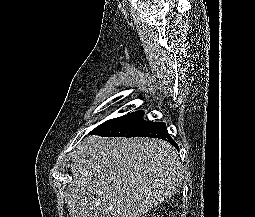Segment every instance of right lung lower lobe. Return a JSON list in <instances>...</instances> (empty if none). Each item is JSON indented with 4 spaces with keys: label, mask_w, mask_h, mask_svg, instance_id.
I'll return each instance as SVG.
<instances>
[{
    "label": "right lung lower lobe",
    "mask_w": 255,
    "mask_h": 217,
    "mask_svg": "<svg viewBox=\"0 0 255 217\" xmlns=\"http://www.w3.org/2000/svg\"><path fill=\"white\" fill-rule=\"evenodd\" d=\"M143 111L133 112L122 117L110 119L97 126L90 134L105 137H151L159 138L171 143L173 141L163 122H152L143 120Z\"/></svg>",
    "instance_id": "1"
}]
</instances>
